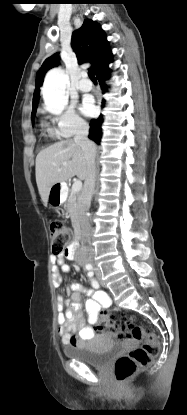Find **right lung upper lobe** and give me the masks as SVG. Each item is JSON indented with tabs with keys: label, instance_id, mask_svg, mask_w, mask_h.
<instances>
[{
	"label": "right lung upper lobe",
	"instance_id": "right-lung-upper-lobe-1",
	"mask_svg": "<svg viewBox=\"0 0 187 415\" xmlns=\"http://www.w3.org/2000/svg\"><path fill=\"white\" fill-rule=\"evenodd\" d=\"M71 46L76 53L79 64L90 62L91 69L96 74L112 57L108 41L101 27L94 21L86 19L83 25L72 34ZM58 54L47 58L36 75V88L33 96V110L39 102V89L45 73L58 66Z\"/></svg>",
	"mask_w": 187,
	"mask_h": 415
}]
</instances>
